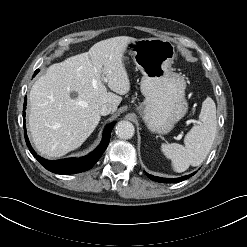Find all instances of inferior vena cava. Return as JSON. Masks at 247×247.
Segmentation results:
<instances>
[{"label": "inferior vena cava", "instance_id": "obj_1", "mask_svg": "<svg viewBox=\"0 0 247 247\" xmlns=\"http://www.w3.org/2000/svg\"><path fill=\"white\" fill-rule=\"evenodd\" d=\"M99 112L101 115L105 116L113 112V108L109 104H104L100 107Z\"/></svg>", "mask_w": 247, "mask_h": 247}]
</instances>
